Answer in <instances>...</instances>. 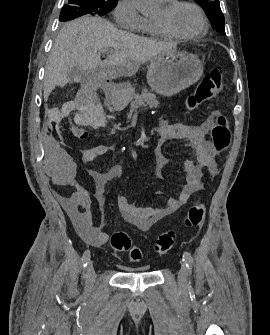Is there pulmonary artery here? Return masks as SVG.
<instances>
[{"label":"pulmonary artery","mask_w":270,"mask_h":335,"mask_svg":"<svg viewBox=\"0 0 270 335\" xmlns=\"http://www.w3.org/2000/svg\"><path fill=\"white\" fill-rule=\"evenodd\" d=\"M163 3H171L174 2L175 0H161Z\"/></svg>","instance_id":"e3ab8cb5"}]
</instances>
